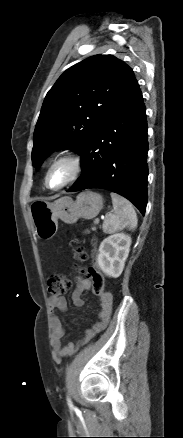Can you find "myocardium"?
Masks as SVG:
<instances>
[{
  "label": "myocardium",
  "mask_w": 183,
  "mask_h": 438,
  "mask_svg": "<svg viewBox=\"0 0 183 438\" xmlns=\"http://www.w3.org/2000/svg\"><path fill=\"white\" fill-rule=\"evenodd\" d=\"M59 163H67L71 168V175L63 184H61L58 187L53 188V187H50L48 185V181H47L48 174H49L51 168ZM82 170H83V164H82V160L80 159L79 156H77L75 154L61 155V156L55 158L53 161H51V163L46 168V171L44 173V185L46 186L47 189L52 190V191L61 190V189L65 188L66 186H68L69 184L76 181L78 179V177L80 176V174L82 173Z\"/></svg>",
  "instance_id": "myocardium-1"
}]
</instances>
